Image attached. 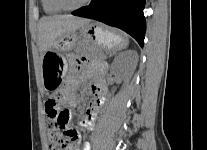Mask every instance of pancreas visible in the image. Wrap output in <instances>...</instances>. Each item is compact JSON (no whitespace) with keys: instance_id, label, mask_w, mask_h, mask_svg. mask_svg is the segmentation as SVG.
Masks as SVG:
<instances>
[{"instance_id":"cf45deb5","label":"pancreas","mask_w":207,"mask_h":150,"mask_svg":"<svg viewBox=\"0 0 207 150\" xmlns=\"http://www.w3.org/2000/svg\"><path fill=\"white\" fill-rule=\"evenodd\" d=\"M104 59V55L101 57V60H103Z\"/></svg>"}]
</instances>
